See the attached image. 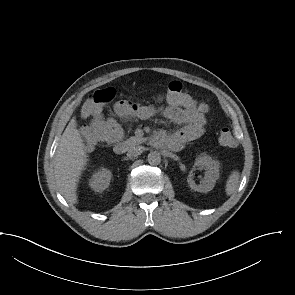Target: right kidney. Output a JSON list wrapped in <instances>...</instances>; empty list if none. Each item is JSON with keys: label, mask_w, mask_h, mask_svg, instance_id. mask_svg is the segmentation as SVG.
Here are the masks:
<instances>
[{"label": "right kidney", "mask_w": 295, "mask_h": 295, "mask_svg": "<svg viewBox=\"0 0 295 295\" xmlns=\"http://www.w3.org/2000/svg\"><path fill=\"white\" fill-rule=\"evenodd\" d=\"M111 177V171L102 168L92 175L91 179L89 180V185L95 192H102L108 188Z\"/></svg>", "instance_id": "obj_1"}]
</instances>
